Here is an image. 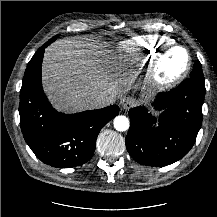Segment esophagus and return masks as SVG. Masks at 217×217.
Returning a JSON list of instances; mask_svg holds the SVG:
<instances>
[{"label": "esophagus", "mask_w": 217, "mask_h": 217, "mask_svg": "<svg viewBox=\"0 0 217 217\" xmlns=\"http://www.w3.org/2000/svg\"><path fill=\"white\" fill-rule=\"evenodd\" d=\"M135 105V99L132 97H125L121 100V106L124 110H128Z\"/></svg>", "instance_id": "esophagus-1"}]
</instances>
